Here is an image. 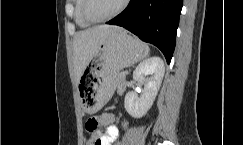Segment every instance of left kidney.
Masks as SVG:
<instances>
[{"label":"left kidney","instance_id":"1","mask_svg":"<svg viewBox=\"0 0 243 145\" xmlns=\"http://www.w3.org/2000/svg\"><path fill=\"white\" fill-rule=\"evenodd\" d=\"M164 73V62L156 56L145 59L136 67L133 79L144 85V90L140 97L133 92L126 94L124 106L129 115L141 118L148 112L160 89Z\"/></svg>","mask_w":243,"mask_h":145}]
</instances>
